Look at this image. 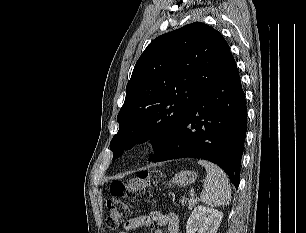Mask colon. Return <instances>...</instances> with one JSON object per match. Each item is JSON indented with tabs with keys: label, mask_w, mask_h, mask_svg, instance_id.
Instances as JSON below:
<instances>
[{
	"label": "colon",
	"mask_w": 306,
	"mask_h": 233,
	"mask_svg": "<svg viewBox=\"0 0 306 233\" xmlns=\"http://www.w3.org/2000/svg\"><path fill=\"white\" fill-rule=\"evenodd\" d=\"M157 171H143L137 177L126 181H113L109 186L106 225L118 229L129 214L128 200L135 198L145 188L154 186L159 180Z\"/></svg>",
	"instance_id": "1"
}]
</instances>
